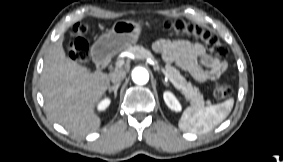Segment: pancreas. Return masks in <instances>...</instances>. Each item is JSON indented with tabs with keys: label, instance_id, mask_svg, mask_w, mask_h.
<instances>
[{
	"label": "pancreas",
	"instance_id": "obj_1",
	"mask_svg": "<svg viewBox=\"0 0 283 162\" xmlns=\"http://www.w3.org/2000/svg\"><path fill=\"white\" fill-rule=\"evenodd\" d=\"M128 52L132 53L137 59L151 58L155 61L156 66L159 67V62L154 59L152 53L142 46L135 45L128 49ZM165 72L174 82L179 86L177 89L181 90L183 95L193 105L202 107L204 105L203 95L199 92L198 88L194 87L191 83L180 74V71L170 64H166L164 67Z\"/></svg>",
	"mask_w": 283,
	"mask_h": 162
}]
</instances>
